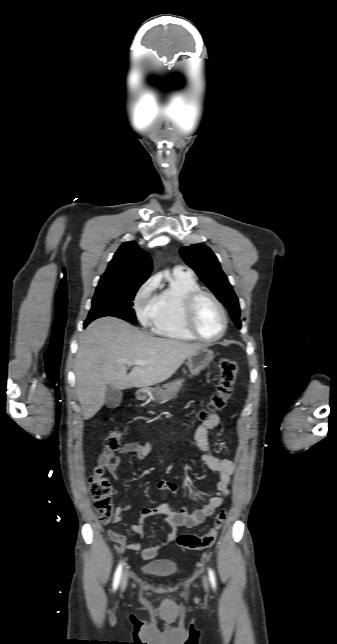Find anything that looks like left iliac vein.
<instances>
[{"mask_svg":"<svg viewBox=\"0 0 337 644\" xmlns=\"http://www.w3.org/2000/svg\"><path fill=\"white\" fill-rule=\"evenodd\" d=\"M203 584H204L205 588H207L208 584H207V579L205 577L203 579Z\"/></svg>","mask_w":337,"mask_h":644,"instance_id":"4c4485c4","label":"left iliac vein"}]
</instances>
